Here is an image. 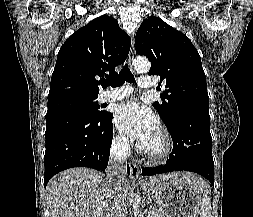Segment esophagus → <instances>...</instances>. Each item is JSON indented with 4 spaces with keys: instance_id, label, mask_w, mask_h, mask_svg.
I'll list each match as a JSON object with an SVG mask.
<instances>
[{
    "instance_id": "obj_1",
    "label": "esophagus",
    "mask_w": 253,
    "mask_h": 217,
    "mask_svg": "<svg viewBox=\"0 0 253 217\" xmlns=\"http://www.w3.org/2000/svg\"><path fill=\"white\" fill-rule=\"evenodd\" d=\"M134 46H135V42H134V38H132L130 52H129V56H128V63L130 65V67H132L131 63H132V60L134 58ZM130 172H131V178L132 179H134V180L140 179L139 167L134 161L130 162Z\"/></svg>"
}]
</instances>
